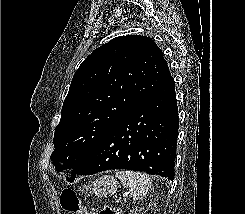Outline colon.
<instances>
[{"label": "colon", "mask_w": 245, "mask_h": 214, "mask_svg": "<svg viewBox=\"0 0 245 214\" xmlns=\"http://www.w3.org/2000/svg\"><path fill=\"white\" fill-rule=\"evenodd\" d=\"M60 204L64 211L74 214H122L118 209L111 206H105L100 213L93 209H87L81 205L76 192L68 188L62 191Z\"/></svg>", "instance_id": "5ec220e1"}]
</instances>
